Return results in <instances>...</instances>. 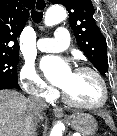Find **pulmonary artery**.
Returning a JSON list of instances; mask_svg holds the SVG:
<instances>
[{
  "instance_id": "obj_1",
  "label": "pulmonary artery",
  "mask_w": 117,
  "mask_h": 136,
  "mask_svg": "<svg viewBox=\"0 0 117 136\" xmlns=\"http://www.w3.org/2000/svg\"><path fill=\"white\" fill-rule=\"evenodd\" d=\"M70 45L69 31L65 27H58L53 37L41 38L37 42V48L43 52L62 51Z\"/></svg>"
}]
</instances>
